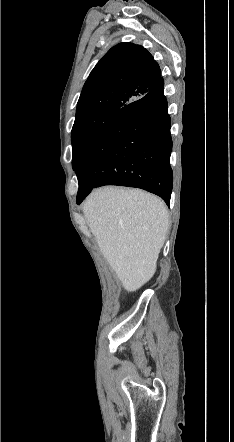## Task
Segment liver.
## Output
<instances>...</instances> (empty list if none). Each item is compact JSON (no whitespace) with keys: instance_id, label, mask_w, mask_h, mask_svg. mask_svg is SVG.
<instances>
[{"instance_id":"liver-1","label":"liver","mask_w":234,"mask_h":442,"mask_svg":"<svg viewBox=\"0 0 234 442\" xmlns=\"http://www.w3.org/2000/svg\"><path fill=\"white\" fill-rule=\"evenodd\" d=\"M83 212L125 290L136 291L148 282L169 227L165 203L142 190L106 186L87 197Z\"/></svg>"}]
</instances>
